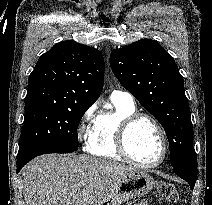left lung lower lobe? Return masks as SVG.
<instances>
[{
    "instance_id": "left-lung-lower-lobe-1",
    "label": "left lung lower lobe",
    "mask_w": 212,
    "mask_h": 205,
    "mask_svg": "<svg viewBox=\"0 0 212 205\" xmlns=\"http://www.w3.org/2000/svg\"><path fill=\"white\" fill-rule=\"evenodd\" d=\"M173 171L182 179L187 181L191 187L194 188L197 179V169L194 168H183V169H173Z\"/></svg>"
}]
</instances>
